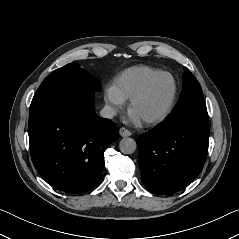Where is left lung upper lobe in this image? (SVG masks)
<instances>
[{"label":"left lung upper lobe","instance_id":"left-lung-upper-lobe-1","mask_svg":"<svg viewBox=\"0 0 239 239\" xmlns=\"http://www.w3.org/2000/svg\"><path fill=\"white\" fill-rule=\"evenodd\" d=\"M191 108H206L201 86L197 79L185 68L183 74V88L179 100L167 119Z\"/></svg>","mask_w":239,"mask_h":239}]
</instances>
